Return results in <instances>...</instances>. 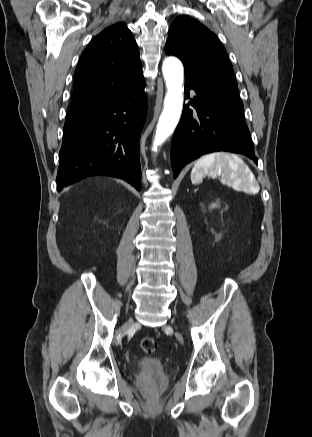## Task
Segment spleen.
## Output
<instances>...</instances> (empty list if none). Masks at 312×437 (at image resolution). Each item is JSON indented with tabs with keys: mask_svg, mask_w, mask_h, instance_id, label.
I'll use <instances>...</instances> for the list:
<instances>
[{
	"mask_svg": "<svg viewBox=\"0 0 312 437\" xmlns=\"http://www.w3.org/2000/svg\"><path fill=\"white\" fill-rule=\"evenodd\" d=\"M205 175L221 176L222 182L238 186L247 193H258L260 189L250 168L235 154L216 152L199 158L191 172L192 183H201Z\"/></svg>",
	"mask_w": 312,
	"mask_h": 437,
	"instance_id": "obj_1",
	"label": "spleen"
}]
</instances>
